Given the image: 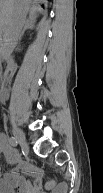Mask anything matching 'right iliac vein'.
<instances>
[{
	"mask_svg": "<svg viewBox=\"0 0 103 193\" xmlns=\"http://www.w3.org/2000/svg\"><path fill=\"white\" fill-rule=\"evenodd\" d=\"M13 134L16 138V140L22 145L26 146V139L24 133L18 129V128H13Z\"/></svg>",
	"mask_w": 103,
	"mask_h": 193,
	"instance_id": "obj_1",
	"label": "right iliac vein"
}]
</instances>
